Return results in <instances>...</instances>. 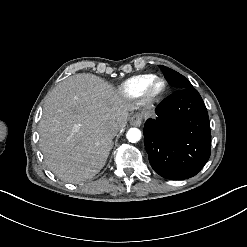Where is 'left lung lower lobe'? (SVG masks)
Returning <instances> with one entry per match:
<instances>
[{"mask_svg":"<svg viewBox=\"0 0 247 247\" xmlns=\"http://www.w3.org/2000/svg\"><path fill=\"white\" fill-rule=\"evenodd\" d=\"M156 114L144 126L151 167L167 179L195 176L211 153L209 117L200 94L194 88L179 89L158 105Z\"/></svg>","mask_w":247,"mask_h":247,"instance_id":"obj_1","label":"left lung lower lobe"}]
</instances>
